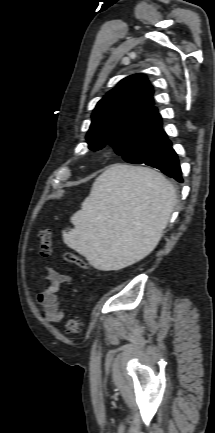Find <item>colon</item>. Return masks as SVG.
<instances>
[{
    "instance_id": "obj_1",
    "label": "colon",
    "mask_w": 215,
    "mask_h": 433,
    "mask_svg": "<svg viewBox=\"0 0 215 433\" xmlns=\"http://www.w3.org/2000/svg\"><path fill=\"white\" fill-rule=\"evenodd\" d=\"M40 242V252L44 257H50L53 252L52 232L48 228H43L38 234ZM68 263L75 264L81 268H87V263L83 258L74 252H66L64 255ZM82 324L77 319H69L64 324V331L68 335H74L81 331Z\"/></svg>"
}]
</instances>
